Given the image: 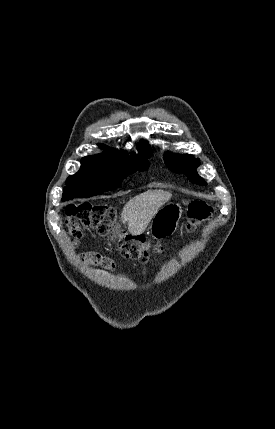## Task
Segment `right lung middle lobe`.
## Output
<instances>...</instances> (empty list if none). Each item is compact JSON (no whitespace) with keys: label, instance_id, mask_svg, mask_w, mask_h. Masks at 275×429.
Masks as SVG:
<instances>
[{"label":"right lung middle lobe","instance_id":"right-lung-middle-lobe-1","mask_svg":"<svg viewBox=\"0 0 275 429\" xmlns=\"http://www.w3.org/2000/svg\"><path fill=\"white\" fill-rule=\"evenodd\" d=\"M147 158L125 156L109 165L83 164L81 169L68 177L62 201L74 197H90L117 188L126 176L149 167Z\"/></svg>","mask_w":275,"mask_h":429}]
</instances>
